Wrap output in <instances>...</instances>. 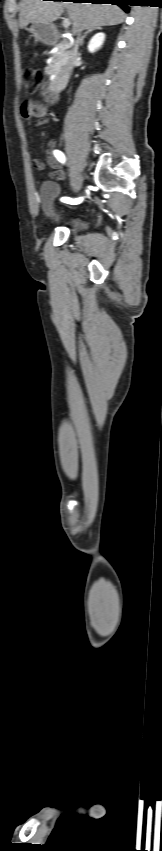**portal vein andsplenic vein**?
I'll list each match as a JSON object with an SVG mask.
<instances>
[{
  "label": "portal vein and splenic vein",
  "mask_w": 162,
  "mask_h": 851,
  "mask_svg": "<svg viewBox=\"0 0 162 851\" xmlns=\"http://www.w3.org/2000/svg\"><path fill=\"white\" fill-rule=\"evenodd\" d=\"M70 25H71V21H70V19H69V18H64V20H63V27H64V28H68Z\"/></svg>",
  "instance_id": "obj_1"
}]
</instances>
